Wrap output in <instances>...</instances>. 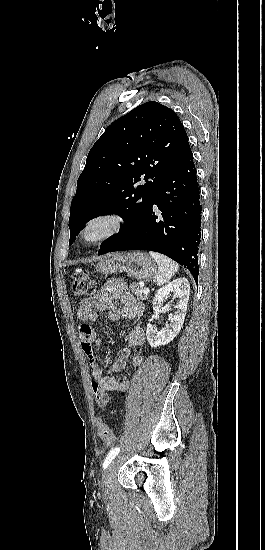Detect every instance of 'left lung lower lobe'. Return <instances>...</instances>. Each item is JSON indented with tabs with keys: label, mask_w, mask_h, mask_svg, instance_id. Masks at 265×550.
<instances>
[{
	"label": "left lung lower lobe",
	"mask_w": 265,
	"mask_h": 550,
	"mask_svg": "<svg viewBox=\"0 0 265 550\" xmlns=\"http://www.w3.org/2000/svg\"><path fill=\"white\" fill-rule=\"evenodd\" d=\"M200 238V194L189 146L170 168L135 227L116 242L101 245L98 255L132 249L159 252L187 268L197 281Z\"/></svg>",
	"instance_id": "obj_1"
}]
</instances>
